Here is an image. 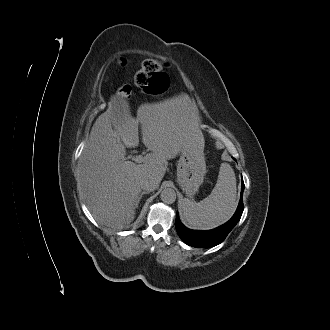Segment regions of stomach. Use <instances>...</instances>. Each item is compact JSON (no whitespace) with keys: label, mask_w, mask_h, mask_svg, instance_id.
Listing matches in <instances>:
<instances>
[{"label":"stomach","mask_w":330,"mask_h":330,"mask_svg":"<svg viewBox=\"0 0 330 330\" xmlns=\"http://www.w3.org/2000/svg\"><path fill=\"white\" fill-rule=\"evenodd\" d=\"M203 151L202 147H186L181 151L177 165V183L188 197L198 192L207 172Z\"/></svg>","instance_id":"1"}]
</instances>
